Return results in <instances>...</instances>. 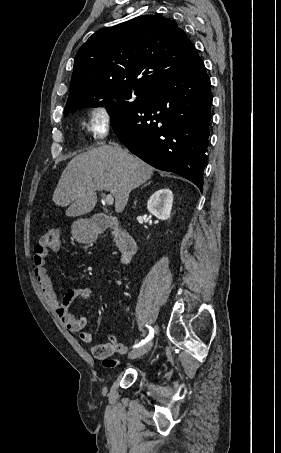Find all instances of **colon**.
Listing matches in <instances>:
<instances>
[{
	"mask_svg": "<svg viewBox=\"0 0 281 453\" xmlns=\"http://www.w3.org/2000/svg\"><path fill=\"white\" fill-rule=\"evenodd\" d=\"M59 231L60 228L58 226H48L46 229V233L44 234L40 241V246L38 249L47 250L46 259L52 254H57L60 250Z\"/></svg>",
	"mask_w": 281,
	"mask_h": 453,
	"instance_id": "1",
	"label": "colon"
}]
</instances>
